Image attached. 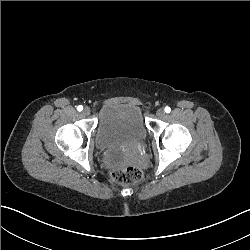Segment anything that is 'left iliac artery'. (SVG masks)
Here are the masks:
<instances>
[{
    "instance_id": "left-iliac-artery-1",
    "label": "left iliac artery",
    "mask_w": 250,
    "mask_h": 250,
    "mask_svg": "<svg viewBox=\"0 0 250 250\" xmlns=\"http://www.w3.org/2000/svg\"><path fill=\"white\" fill-rule=\"evenodd\" d=\"M164 110H165V112H166V113H170L171 108H170V107H168V106H166Z\"/></svg>"
}]
</instances>
